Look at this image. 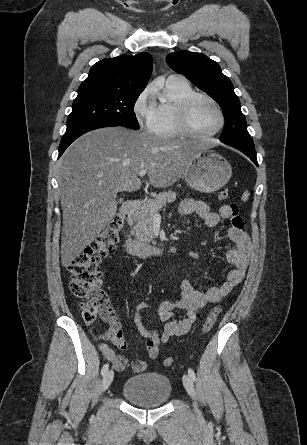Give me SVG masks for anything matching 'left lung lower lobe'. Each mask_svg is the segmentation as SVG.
Returning <instances> with one entry per match:
<instances>
[{
	"label": "left lung lower lobe",
	"instance_id": "obj_1",
	"mask_svg": "<svg viewBox=\"0 0 307 445\" xmlns=\"http://www.w3.org/2000/svg\"><path fill=\"white\" fill-rule=\"evenodd\" d=\"M223 143L240 150L245 155H247L258 166L254 144L251 145V144H242V143H233V142H223Z\"/></svg>",
	"mask_w": 307,
	"mask_h": 445
}]
</instances>
